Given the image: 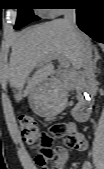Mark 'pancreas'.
Listing matches in <instances>:
<instances>
[{
  "label": "pancreas",
  "mask_w": 104,
  "mask_h": 169,
  "mask_svg": "<svg viewBox=\"0 0 104 169\" xmlns=\"http://www.w3.org/2000/svg\"><path fill=\"white\" fill-rule=\"evenodd\" d=\"M73 83H74V79L72 76H68L63 79V87L66 89H71Z\"/></svg>",
  "instance_id": "pancreas-1"
}]
</instances>
